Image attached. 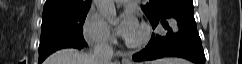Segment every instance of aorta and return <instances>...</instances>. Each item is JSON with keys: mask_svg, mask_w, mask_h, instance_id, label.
<instances>
[{"mask_svg": "<svg viewBox=\"0 0 242 64\" xmlns=\"http://www.w3.org/2000/svg\"><path fill=\"white\" fill-rule=\"evenodd\" d=\"M100 14L107 19L109 23H116L117 13L114 0H94Z\"/></svg>", "mask_w": 242, "mask_h": 64, "instance_id": "1", "label": "aorta"}]
</instances>
